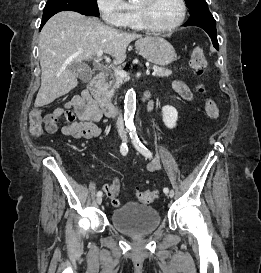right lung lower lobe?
<instances>
[{"instance_id": "98d812e1", "label": "right lung lower lobe", "mask_w": 261, "mask_h": 273, "mask_svg": "<svg viewBox=\"0 0 261 273\" xmlns=\"http://www.w3.org/2000/svg\"><path fill=\"white\" fill-rule=\"evenodd\" d=\"M71 11H76L79 12L83 15H91V16H95L92 13H90L88 11V9L86 8V6L81 2V1H76L75 4H71L70 7ZM51 16H43L42 22H41V26L40 29L43 27V25L47 22V20L50 18Z\"/></svg>"}]
</instances>
